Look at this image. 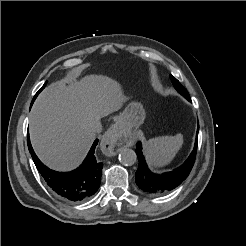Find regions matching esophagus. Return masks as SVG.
I'll list each match as a JSON object with an SVG mask.
<instances>
[{
  "instance_id": "obj_1",
  "label": "esophagus",
  "mask_w": 246,
  "mask_h": 246,
  "mask_svg": "<svg viewBox=\"0 0 246 246\" xmlns=\"http://www.w3.org/2000/svg\"><path fill=\"white\" fill-rule=\"evenodd\" d=\"M121 129L117 124L112 125L103 135L101 140V149L107 156L116 154L115 148L119 143Z\"/></svg>"
}]
</instances>
